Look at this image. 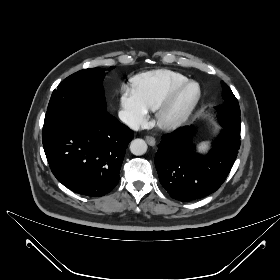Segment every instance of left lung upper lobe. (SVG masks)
I'll list each match as a JSON object with an SVG mask.
<instances>
[{
  "instance_id": "left-lung-upper-lobe-1",
  "label": "left lung upper lobe",
  "mask_w": 280,
  "mask_h": 280,
  "mask_svg": "<svg viewBox=\"0 0 280 280\" xmlns=\"http://www.w3.org/2000/svg\"><path fill=\"white\" fill-rule=\"evenodd\" d=\"M222 87L224 102L217 107L219 122L224 128L240 137L241 121L238 100L223 81Z\"/></svg>"
}]
</instances>
